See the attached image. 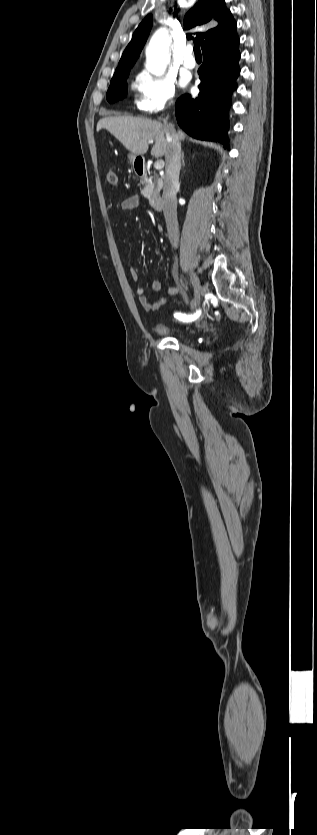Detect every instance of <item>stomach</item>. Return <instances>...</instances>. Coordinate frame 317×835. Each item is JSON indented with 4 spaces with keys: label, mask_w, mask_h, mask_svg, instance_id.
<instances>
[{
    "label": "stomach",
    "mask_w": 317,
    "mask_h": 835,
    "mask_svg": "<svg viewBox=\"0 0 317 835\" xmlns=\"http://www.w3.org/2000/svg\"><path fill=\"white\" fill-rule=\"evenodd\" d=\"M138 157H139V156H137V155H132V154H131V155H129V159H130V161H131L133 164L135 163V161L137 160V158H138Z\"/></svg>",
    "instance_id": "stomach-1"
}]
</instances>
